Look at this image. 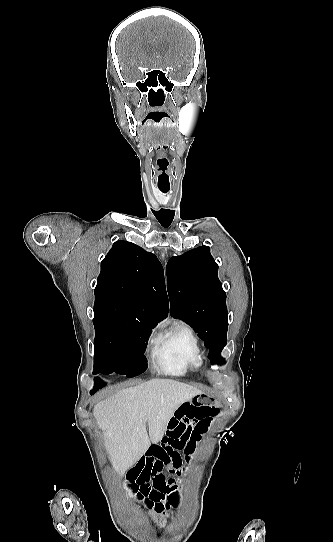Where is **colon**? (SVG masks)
Returning a JSON list of instances; mask_svg holds the SVG:
<instances>
[{
    "instance_id": "obj_1",
    "label": "colon",
    "mask_w": 333,
    "mask_h": 542,
    "mask_svg": "<svg viewBox=\"0 0 333 542\" xmlns=\"http://www.w3.org/2000/svg\"><path fill=\"white\" fill-rule=\"evenodd\" d=\"M165 500H166V502H167V503L171 504V503H173V502H174V500H175V499H174V497H173V496L169 495V496H167V497H166V499H165Z\"/></svg>"
}]
</instances>
